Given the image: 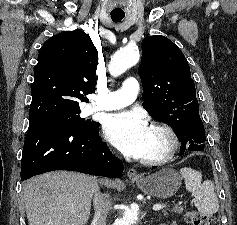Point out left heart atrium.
I'll use <instances>...</instances> for the list:
<instances>
[{"label":"left heart atrium","mask_w":237,"mask_h":225,"mask_svg":"<svg viewBox=\"0 0 237 225\" xmlns=\"http://www.w3.org/2000/svg\"><path fill=\"white\" fill-rule=\"evenodd\" d=\"M149 127L137 112H119L110 115L104 126L106 138L123 154L142 158L145 153Z\"/></svg>","instance_id":"obj_1"}]
</instances>
